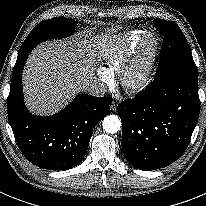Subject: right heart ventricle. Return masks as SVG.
Returning <instances> with one entry per match:
<instances>
[{
    "mask_svg": "<svg viewBox=\"0 0 206 206\" xmlns=\"http://www.w3.org/2000/svg\"><path fill=\"white\" fill-rule=\"evenodd\" d=\"M144 34L145 32L142 30L127 32L123 36L120 45L112 49L108 54L104 66L105 73L113 75L118 72Z\"/></svg>",
    "mask_w": 206,
    "mask_h": 206,
    "instance_id": "e07e8e85",
    "label": "right heart ventricle"
}]
</instances>
